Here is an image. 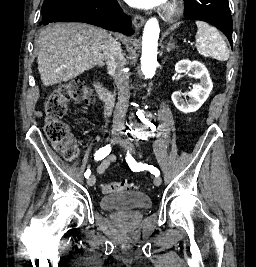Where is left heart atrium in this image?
<instances>
[{
    "mask_svg": "<svg viewBox=\"0 0 256 267\" xmlns=\"http://www.w3.org/2000/svg\"><path fill=\"white\" fill-rule=\"evenodd\" d=\"M145 2L151 7H160L162 9H166L168 4V0H145Z\"/></svg>",
    "mask_w": 256,
    "mask_h": 267,
    "instance_id": "left-heart-atrium-1",
    "label": "left heart atrium"
}]
</instances>
